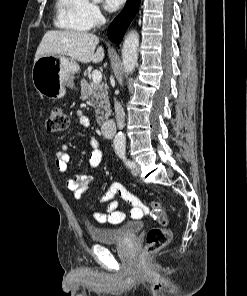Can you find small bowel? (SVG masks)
I'll return each instance as SVG.
<instances>
[{"mask_svg":"<svg viewBox=\"0 0 247 296\" xmlns=\"http://www.w3.org/2000/svg\"><path fill=\"white\" fill-rule=\"evenodd\" d=\"M76 119L81 127H90L89 118L82 112L76 114ZM91 147L92 152L89 156L88 164L92 170H96L101 164L103 154L95 140L91 141ZM69 159L68 147L63 145L56 152L55 156V166L60 173L64 174L66 172ZM95 178V174L79 173L72 178L66 177L65 183L67 188L73 192L75 199L79 200ZM116 195H119L123 200L134 206L131 210L132 216L135 211H141V207L134 204V200L138 198L130 193L121 183L113 182L100 198V203L104 205V211L93 213V217L98 223L116 225L124 221L125 213L119 210V203L113 200Z\"/></svg>","mask_w":247,"mask_h":296,"instance_id":"small-bowel-1","label":"small bowel"}]
</instances>
